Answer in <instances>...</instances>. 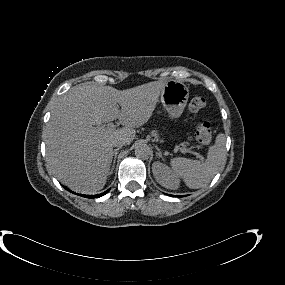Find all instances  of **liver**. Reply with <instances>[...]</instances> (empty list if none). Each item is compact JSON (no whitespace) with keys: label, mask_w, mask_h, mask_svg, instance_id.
<instances>
[{"label":"liver","mask_w":285,"mask_h":285,"mask_svg":"<svg viewBox=\"0 0 285 285\" xmlns=\"http://www.w3.org/2000/svg\"><path fill=\"white\" fill-rule=\"evenodd\" d=\"M166 83L153 81L126 90L79 85L62 95L45 132L46 161L56 178L81 193L101 190L110 169L113 141H133L135 127L150 119ZM116 119L123 128L99 129Z\"/></svg>","instance_id":"liver-1"}]
</instances>
